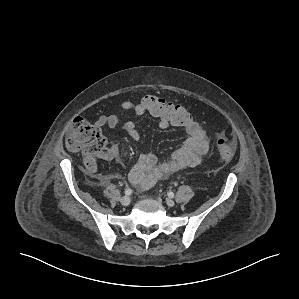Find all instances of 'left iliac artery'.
Returning <instances> with one entry per match:
<instances>
[{
    "instance_id": "1",
    "label": "left iliac artery",
    "mask_w": 299,
    "mask_h": 299,
    "mask_svg": "<svg viewBox=\"0 0 299 299\" xmlns=\"http://www.w3.org/2000/svg\"><path fill=\"white\" fill-rule=\"evenodd\" d=\"M168 196H169L170 198H173V197H174V193H173L172 191H170V192H168Z\"/></svg>"
}]
</instances>
